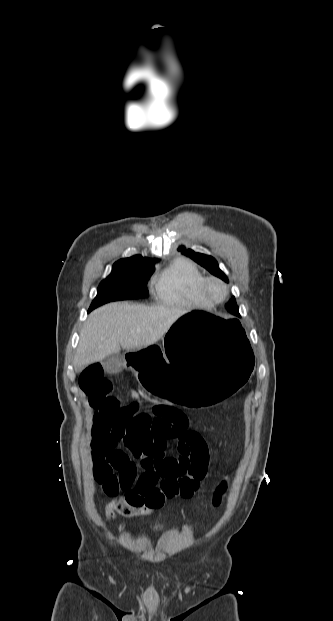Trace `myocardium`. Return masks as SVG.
I'll return each instance as SVG.
<instances>
[{
    "label": "myocardium",
    "mask_w": 333,
    "mask_h": 621,
    "mask_svg": "<svg viewBox=\"0 0 333 621\" xmlns=\"http://www.w3.org/2000/svg\"><path fill=\"white\" fill-rule=\"evenodd\" d=\"M219 284L222 287V294L219 296H215L211 293L210 291V286L212 284ZM201 290L202 293L204 295V297L212 304H219L222 303L223 301H225V299L227 298V296L229 295V286L228 284L221 278L219 277H215V276H210V277H206L204 278V280L201 283Z\"/></svg>",
    "instance_id": "myocardium-1"
}]
</instances>
